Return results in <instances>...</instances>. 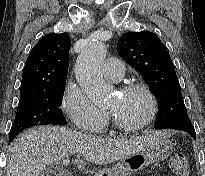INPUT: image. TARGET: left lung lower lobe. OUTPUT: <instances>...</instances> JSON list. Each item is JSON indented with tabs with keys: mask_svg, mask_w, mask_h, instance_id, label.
<instances>
[{
	"mask_svg": "<svg viewBox=\"0 0 205 176\" xmlns=\"http://www.w3.org/2000/svg\"><path fill=\"white\" fill-rule=\"evenodd\" d=\"M171 129L182 130L190 134L194 139H196V133L193 125L191 123L180 124L170 127Z\"/></svg>",
	"mask_w": 205,
	"mask_h": 176,
	"instance_id": "0a47b994",
	"label": "left lung lower lobe"
}]
</instances>
